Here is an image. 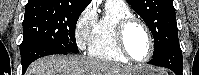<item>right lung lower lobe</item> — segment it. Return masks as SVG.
<instances>
[{
  "label": "right lung lower lobe",
  "mask_w": 199,
  "mask_h": 75,
  "mask_svg": "<svg viewBox=\"0 0 199 75\" xmlns=\"http://www.w3.org/2000/svg\"><path fill=\"white\" fill-rule=\"evenodd\" d=\"M21 53V62H22V74L25 73L28 66L36 59L52 55V54H68L73 52L62 51L53 47H49L42 44H35L29 48L20 51Z\"/></svg>",
  "instance_id": "98d812e1"
}]
</instances>
